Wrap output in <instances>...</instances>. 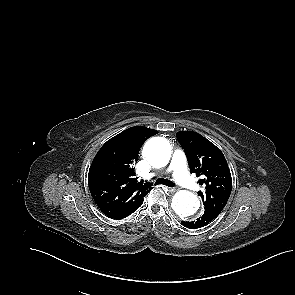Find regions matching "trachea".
I'll list each match as a JSON object with an SVG mask.
<instances>
[{
    "label": "trachea",
    "instance_id": "trachea-1",
    "mask_svg": "<svg viewBox=\"0 0 295 295\" xmlns=\"http://www.w3.org/2000/svg\"><path fill=\"white\" fill-rule=\"evenodd\" d=\"M155 185H166L168 187H174L175 184L168 180V179H164V178H158L155 182Z\"/></svg>",
    "mask_w": 295,
    "mask_h": 295
}]
</instances>
